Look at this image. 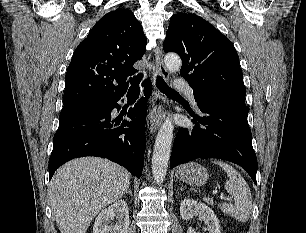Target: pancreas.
I'll use <instances>...</instances> for the list:
<instances>
[{
  "label": "pancreas",
  "instance_id": "cf45deb5",
  "mask_svg": "<svg viewBox=\"0 0 306 233\" xmlns=\"http://www.w3.org/2000/svg\"><path fill=\"white\" fill-rule=\"evenodd\" d=\"M204 201L210 205H213V199L211 198H204Z\"/></svg>",
  "mask_w": 306,
  "mask_h": 233
}]
</instances>
